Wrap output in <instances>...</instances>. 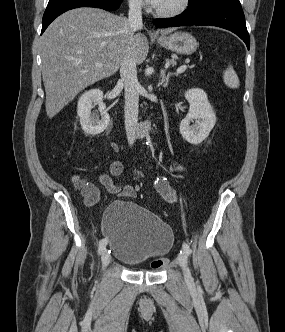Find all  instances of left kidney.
<instances>
[{
    "label": "left kidney",
    "instance_id": "5707ae66",
    "mask_svg": "<svg viewBox=\"0 0 285 332\" xmlns=\"http://www.w3.org/2000/svg\"><path fill=\"white\" fill-rule=\"evenodd\" d=\"M185 98L189 102L190 108L186 117L181 121L180 133L187 142L198 145L209 136L216 123V116L207 94L202 89L187 90ZM193 120H195V124L191 126L190 123Z\"/></svg>",
    "mask_w": 285,
    "mask_h": 332
}]
</instances>
